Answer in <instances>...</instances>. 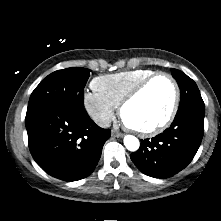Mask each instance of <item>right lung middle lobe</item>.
<instances>
[{
    "mask_svg": "<svg viewBox=\"0 0 221 221\" xmlns=\"http://www.w3.org/2000/svg\"><path fill=\"white\" fill-rule=\"evenodd\" d=\"M90 71L87 68L72 67L51 73L32 92L27 112L59 104L84 107V87Z\"/></svg>",
    "mask_w": 221,
    "mask_h": 221,
    "instance_id": "right-lung-middle-lobe-1",
    "label": "right lung middle lobe"
}]
</instances>
